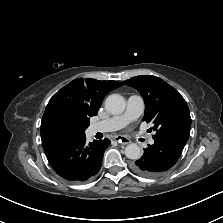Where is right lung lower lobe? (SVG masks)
<instances>
[{
	"label": "right lung lower lobe",
	"mask_w": 223,
	"mask_h": 223,
	"mask_svg": "<svg viewBox=\"0 0 223 223\" xmlns=\"http://www.w3.org/2000/svg\"><path fill=\"white\" fill-rule=\"evenodd\" d=\"M110 140L86 143V136L63 142L44 150L54 171L62 178L82 182L96 175L102 165L103 155Z\"/></svg>",
	"instance_id": "98d812e1"
}]
</instances>
